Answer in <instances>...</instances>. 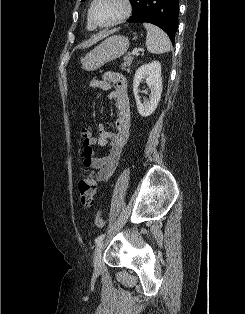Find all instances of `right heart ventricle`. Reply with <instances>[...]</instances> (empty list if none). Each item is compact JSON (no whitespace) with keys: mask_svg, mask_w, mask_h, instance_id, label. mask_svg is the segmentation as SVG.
<instances>
[{"mask_svg":"<svg viewBox=\"0 0 245 314\" xmlns=\"http://www.w3.org/2000/svg\"><path fill=\"white\" fill-rule=\"evenodd\" d=\"M87 28L89 30H93L95 27L89 22V20H87Z\"/></svg>","mask_w":245,"mask_h":314,"instance_id":"obj_1","label":"right heart ventricle"}]
</instances>
